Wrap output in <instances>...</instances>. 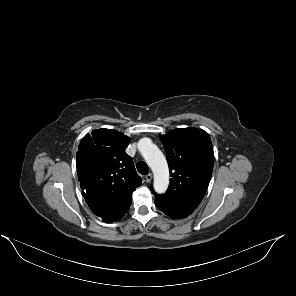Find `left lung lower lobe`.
Here are the masks:
<instances>
[{"label": "left lung lower lobe", "mask_w": 296, "mask_h": 296, "mask_svg": "<svg viewBox=\"0 0 296 296\" xmlns=\"http://www.w3.org/2000/svg\"><path fill=\"white\" fill-rule=\"evenodd\" d=\"M155 205L163 211L166 215L172 217V218H184L188 215H190L194 210H188V209H175V208H169L161 205L159 202L155 200Z\"/></svg>", "instance_id": "0a47b994"}]
</instances>
